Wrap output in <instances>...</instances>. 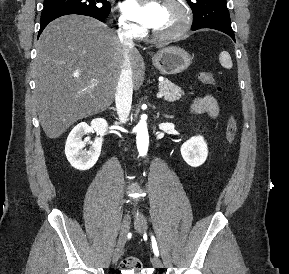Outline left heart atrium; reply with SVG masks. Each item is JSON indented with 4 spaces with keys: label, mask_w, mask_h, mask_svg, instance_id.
<instances>
[{
    "label": "left heart atrium",
    "mask_w": 289,
    "mask_h": 274,
    "mask_svg": "<svg viewBox=\"0 0 289 274\" xmlns=\"http://www.w3.org/2000/svg\"><path fill=\"white\" fill-rule=\"evenodd\" d=\"M123 10L129 18L152 28L159 17L161 4L156 0L144 3L137 0H126L123 3Z\"/></svg>",
    "instance_id": "left-heart-atrium-1"
}]
</instances>
